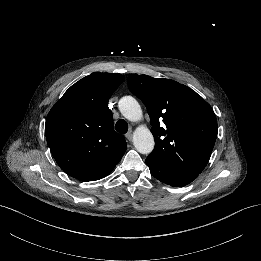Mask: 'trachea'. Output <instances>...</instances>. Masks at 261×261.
Segmentation results:
<instances>
[{
	"label": "trachea",
	"instance_id": "1",
	"mask_svg": "<svg viewBox=\"0 0 261 261\" xmlns=\"http://www.w3.org/2000/svg\"><path fill=\"white\" fill-rule=\"evenodd\" d=\"M115 129L122 134L128 131V123L124 119H120L115 124Z\"/></svg>",
	"mask_w": 261,
	"mask_h": 261
}]
</instances>
